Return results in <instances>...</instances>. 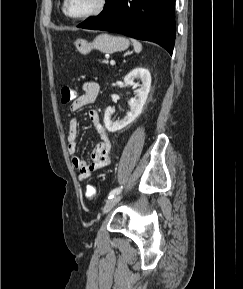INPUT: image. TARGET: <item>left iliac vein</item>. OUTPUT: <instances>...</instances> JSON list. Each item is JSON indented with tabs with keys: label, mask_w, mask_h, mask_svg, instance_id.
I'll return each mask as SVG.
<instances>
[{
	"label": "left iliac vein",
	"mask_w": 243,
	"mask_h": 289,
	"mask_svg": "<svg viewBox=\"0 0 243 289\" xmlns=\"http://www.w3.org/2000/svg\"><path fill=\"white\" fill-rule=\"evenodd\" d=\"M120 200L121 196L118 194L109 199L103 207V213L109 212Z\"/></svg>",
	"instance_id": "left-iliac-vein-1"
}]
</instances>
